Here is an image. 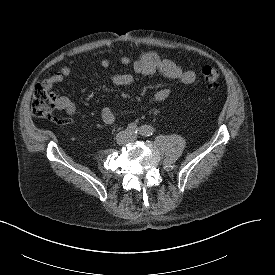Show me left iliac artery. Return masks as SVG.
<instances>
[{
	"instance_id": "44dca946",
	"label": "left iliac artery",
	"mask_w": 275,
	"mask_h": 275,
	"mask_svg": "<svg viewBox=\"0 0 275 275\" xmlns=\"http://www.w3.org/2000/svg\"><path fill=\"white\" fill-rule=\"evenodd\" d=\"M154 128L148 125H143L139 128L138 132L142 136H151L154 134Z\"/></svg>"
}]
</instances>
